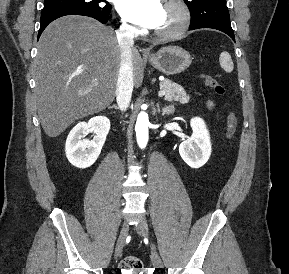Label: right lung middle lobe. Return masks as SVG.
Returning <instances> with one entry per match:
<instances>
[{"instance_id":"obj_1","label":"right lung middle lobe","mask_w":289,"mask_h":274,"mask_svg":"<svg viewBox=\"0 0 289 274\" xmlns=\"http://www.w3.org/2000/svg\"><path fill=\"white\" fill-rule=\"evenodd\" d=\"M68 9H77L95 14H109L111 5L105 0H45L42 14Z\"/></svg>"}]
</instances>
